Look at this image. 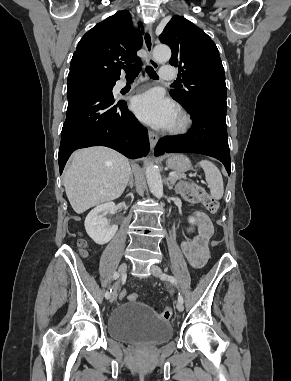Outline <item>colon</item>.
<instances>
[{"mask_svg":"<svg viewBox=\"0 0 291 381\" xmlns=\"http://www.w3.org/2000/svg\"><path fill=\"white\" fill-rule=\"evenodd\" d=\"M179 192L180 194L189 202L191 203H201L203 206L207 209V211L211 214H216L219 210V203L218 201L210 196L205 189L195 183L191 182H184L179 185ZM215 245V242L213 243ZM120 297L125 298L129 301H137L138 296L135 293L126 294L124 291L120 292ZM172 316V309L171 307H165L161 313L160 317L164 320H169Z\"/></svg>","mask_w":291,"mask_h":381,"instance_id":"colon-1","label":"colon"}]
</instances>
